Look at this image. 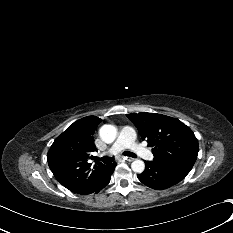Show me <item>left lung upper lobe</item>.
Instances as JSON below:
<instances>
[{"label": "left lung upper lobe", "mask_w": 233, "mask_h": 233, "mask_svg": "<svg viewBox=\"0 0 233 233\" xmlns=\"http://www.w3.org/2000/svg\"><path fill=\"white\" fill-rule=\"evenodd\" d=\"M143 140L154 146L153 162L185 178L198 155L192 130L181 121L156 113L127 114Z\"/></svg>", "instance_id": "obj_1"}]
</instances>
